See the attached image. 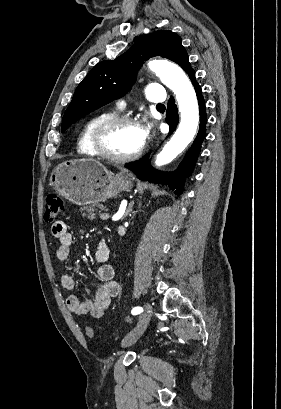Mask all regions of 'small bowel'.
Masks as SVG:
<instances>
[{
	"label": "small bowel",
	"mask_w": 281,
	"mask_h": 409,
	"mask_svg": "<svg viewBox=\"0 0 281 409\" xmlns=\"http://www.w3.org/2000/svg\"><path fill=\"white\" fill-rule=\"evenodd\" d=\"M52 235L58 242L56 256L60 262L69 259L74 236L68 230V224L64 220L55 221L51 226ZM110 247L106 240L98 242L94 250V259L98 263L96 275L99 282L95 285V297L93 300L80 301L78 296L69 295L66 299L68 310L76 315L90 314L94 318H101L108 309L112 299L119 294L120 286L115 279L114 267L108 264ZM63 289L73 290L75 287L74 277L70 273L60 276ZM88 328H86L87 331Z\"/></svg>",
	"instance_id": "obj_1"
}]
</instances>
